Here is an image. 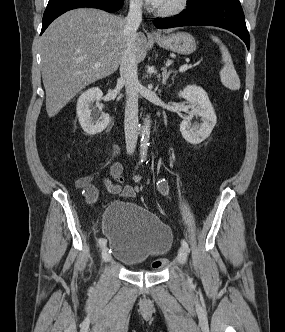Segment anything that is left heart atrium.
Wrapping results in <instances>:
<instances>
[{"instance_id":"obj_1","label":"left heart atrium","mask_w":285,"mask_h":332,"mask_svg":"<svg viewBox=\"0 0 285 332\" xmlns=\"http://www.w3.org/2000/svg\"><path fill=\"white\" fill-rule=\"evenodd\" d=\"M153 7L160 8L165 0H146Z\"/></svg>"}]
</instances>
